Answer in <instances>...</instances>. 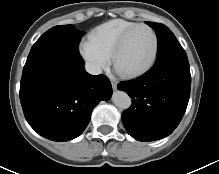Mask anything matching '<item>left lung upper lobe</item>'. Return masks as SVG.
<instances>
[{
    "label": "left lung upper lobe",
    "mask_w": 219,
    "mask_h": 174,
    "mask_svg": "<svg viewBox=\"0 0 219 174\" xmlns=\"http://www.w3.org/2000/svg\"><path fill=\"white\" fill-rule=\"evenodd\" d=\"M146 23L155 30L157 35L158 50L155 62L170 56H187L186 52L168 27L160 23Z\"/></svg>",
    "instance_id": "5c2ea615"
}]
</instances>
